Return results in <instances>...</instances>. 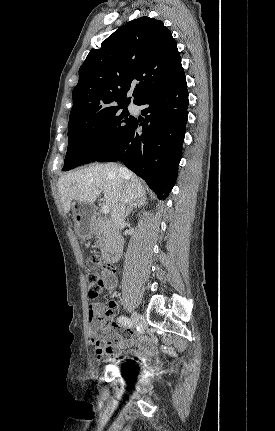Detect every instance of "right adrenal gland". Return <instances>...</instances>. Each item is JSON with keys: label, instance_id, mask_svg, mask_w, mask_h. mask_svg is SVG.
I'll use <instances>...</instances> for the list:
<instances>
[{"label": "right adrenal gland", "instance_id": "right-adrenal-gland-1", "mask_svg": "<svg viewBox=\"0 0 275 431\" xmlns=\"http://www.w3.org/2000/svg\"><path fill=\"white\" fill-rule=\"evenodd\" d=\"M144 204H146V201H145V199H144V198H140V199H137V200H135V201L131 202V203L128 205V207H127V210H126V217L131 213V211L133 210V208H136L137 206H138V207H140V206H142V205H144Z\"/></svg>", "mask_w": 275, "mask_h": 431}]
</instances>
